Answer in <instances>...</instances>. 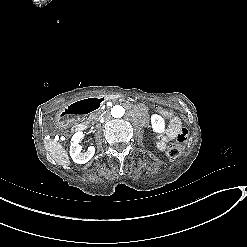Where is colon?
<instances>
[{"instance_id": "1", "label": "colon", "mask_w": 247, "mask_h": 247, "mask_svg": "<svg viewBox=\"0 0 247 247\" xmlns=\"http://www.w3.org/2000/svg\"><path fill=\"white\" fill-rule=\"evenodd\" d=\"M156 111L157 113H159V115L164 116L165 118H176V115H172V111L170 109H167L162 105L157 106ZM188 139V130L186 128H183L177 136L176 140L168 147L166 151L167 157L170 160H175L181 154L182 150L187 144Z\"/></svg>"}]
</instances>
